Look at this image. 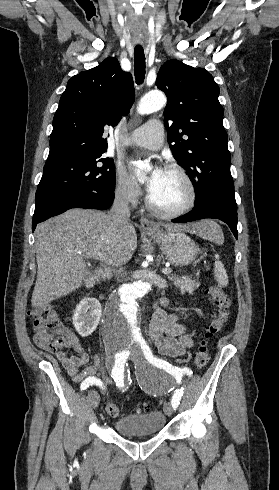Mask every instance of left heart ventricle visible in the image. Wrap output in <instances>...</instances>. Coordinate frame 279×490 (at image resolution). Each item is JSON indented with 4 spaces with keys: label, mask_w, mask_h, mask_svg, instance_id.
Returning a JSON list of instances; mask_svg holds the SVG:
<instances>
[{
    "label": "left heart ventricle",
    "mask_w": 279,
    "mask_h": 490,
    "mask_svg": "<svg viewBox=\"0 0 279 490\" xmlns=\"http://www.w3.org/2000/svg\"><path fill=\"white\" fill-rule=\"evenodd\" d=\"M188 191L184 181L175 173L166 171L158 193L152 197L153 202L165 209H176L187 198Z\"/></svg>",
    "instance_id": "left-heart-ventricle-1"
}]
</instances>
